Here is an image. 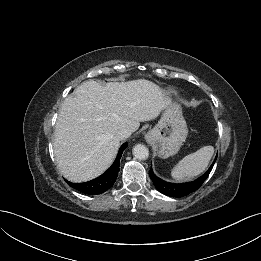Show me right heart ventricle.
Masks as SVG:
<instances>
[{
  "label": "right heart ventricle",
  "mask_w": 261,
  "mask_h": 261,
  "mask_svg": "<svg viewBox=\"0 0 261 261\" xmlns=\"http://www.w3.org/2000/svg\"><path fill=\"white\" fill-rule=\"evenodd\" d=\"M168 94H176V93H174L173 91H170V92H168Z\"/></svg>",
  "instance_id": "obj_1"
}]
</instances>
